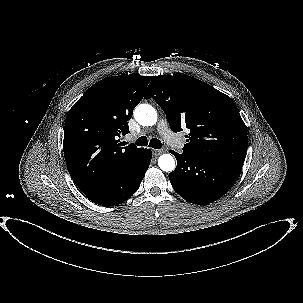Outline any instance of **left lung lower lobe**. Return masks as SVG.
<instances>
[{
    "label": "left lung lower lobe",
    "instance_id": "1",
    "mask_svg": "<svg viewBox=\"0 0 303 303\" xmlns=\"http://www.w3.org/2000/svg\"><path fill=\"white\" fill-rule=\"evenodd\" d=\"M177 159L169 173L173 189L187 201L206 205L221 198L237 179L243 162L224 158H205L171 151Z\"/></svg>",
    "mask_w": 303,
    "mask_h": 303
}]
</instances>
